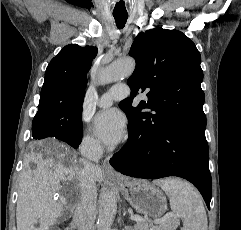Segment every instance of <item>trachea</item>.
<instances>
[{
    "mask_svg": "<svg viewBox=\"0 0 241 230\" xmlns=\"http://www.w3.org/2000/svg\"><path fill=\"white\" fill-rule=\"evenodd\" d=\"M116 25L119 29H122L125 26V23L128 19L127 13H113Z\"/></svg>",
    "mask_w": 241,
    "mask_h": 230,
    "instance_id": "obj_1",
    "label": "trachea"
}]
</instances>
